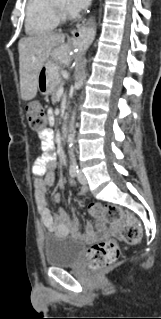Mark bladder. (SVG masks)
I'll return each instance as SVG.
<instances>
[{"label":"bladder","mask_w":161,"mask_h":319,"mask_svg":"<svg viewBox=\"0 0 161 319\" xmlns=\"http://www.w3.org/2000/svg\"><path fill=\"white\" fill-rule=\"evenodd\" d=\"M83 251V242L73 236L47 234L43 240L44 262L47 266H72L81 258Z\"/></svg>","instance_id":"31cf9c89"}]
</instances>
